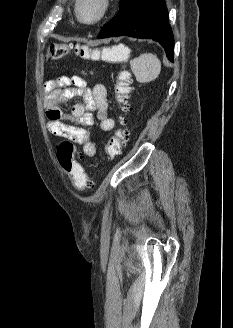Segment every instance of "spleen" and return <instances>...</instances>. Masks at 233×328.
<instances>
[{
    "label": "spleen",
    "mask_w": 233,
    "mask_h": 328,
    "mask_svg": "<svg viewBox=\"0 0 233 328\" xmlns=\"http://www.w3.org/2000/svg\"><path fill=\"white\" fill-rule=\"evenodd\" d=\"M122 47H114L111 51L105 49L107 55L119 56ZM131 70L139 83H149L155 80L161 71V62L158 57L152 53H143L139 57L130 61Z\"/></svg>",
    "instance_id": "spleen-1"
}]
</instances>
